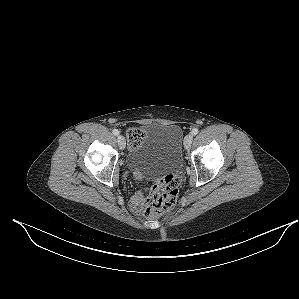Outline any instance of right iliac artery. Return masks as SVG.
I'll list each match as a JSON object with an SVG mask.
<instances>
[{
    "label": "right iliac artery",
    "instance_id": "1",
    "mask_svg": "<svg viewBox=\"0 0 299 299\" xmlns=\"http://www.w3.org/2000/svg\"><path fill=\"white\" fill-rule=\"evenodd\" d=\"M113 134H114L115 136H117V135H119V131H118L117 129H113Z\"/></svg>",
    "mask_w": 299,
    "mask_h": 299
}]
</instances>
